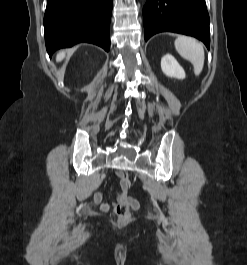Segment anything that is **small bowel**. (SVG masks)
Segmentation results:
<instances>
[{
  "label": "small bowel",
  "instance_id": "c3829d8e",
  "mask_svg": "<svg viewBox=\"0 0 247 265\" xmlns=\"http://www.w3.org/2000/svg\"><path fill=\"white\" fill-rule=\"evenodd\" d=\"M119 202H127L133 209L138 208V202L127 195L126 191H122L118 195ZM94 202L99 205L100 209L103 211H108L111 207V204L103 200V194L101 192H96L94 194Z\"/></svg>",
  "mask_w": 247,
  "mask_h": 265
}]
</instances>
